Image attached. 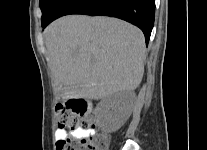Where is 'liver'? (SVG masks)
Instances as JSON below:
<instances>
[{
  "mask_svg": "<svg viewBox=\"0 0 207 150\" xmlns=\"http://www.w3.org/2000/svg\"><path fill=\"white\" fill-rule=\"evenodd\" d=\"M44 35L55 91L63 101L98 100L141 83L144 35L123 20L69 15L52 22Z\"/></svg>",
  "mask_w": 207,
  "mask_h": 150,
  "instance_id": "liver-1",
  "label": "liver"
}]
</instances>
